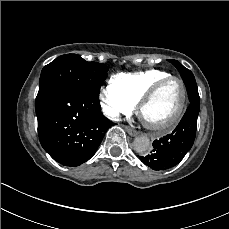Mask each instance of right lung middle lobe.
Listing matches in <instances>:
<instances>
[{
	"mask_svg": "<svg viewBox=\"0 0 229 229\" xmlns=\"http://www.w3.org/2000/svg\"><path fill=\"white\" fill-rule=\"evenodd\" d=\"M107 71L105 64L87 62L77 54L62 55L43 68L35 103L51 90L64 85H75L99 95Z\"/></svg>",
	"mask_w": 229,
	"mask_h": 229,
	"instance_id": "1",
	"label": "right lung middle lobe"
}]
</instances>
